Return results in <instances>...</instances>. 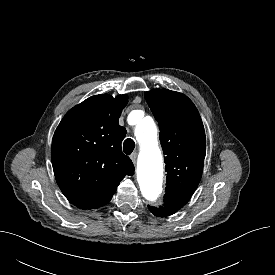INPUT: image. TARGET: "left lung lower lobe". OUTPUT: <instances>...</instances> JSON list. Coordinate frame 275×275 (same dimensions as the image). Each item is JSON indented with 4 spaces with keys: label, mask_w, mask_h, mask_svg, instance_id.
<instances>
[{
    "label": "left lung lower lobe",
    "mask_w": 275,
    "mask_h": 275,
    "mask_svg": "<svg viewBox=\"0 0 275 275\" xmlns=\"http://www.w3.org/2000/svg\"><path fill=\"white\" fill-rule=\"evenodd\" d=\"M190 197L187 196H168L164 197V205L160 208L148 206L149 210L156 216L165 217L174 214L182 208Z\"/></svg>",
    "instance_id": "obj_1"
}]
</instances>
